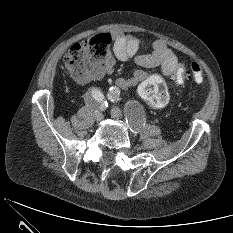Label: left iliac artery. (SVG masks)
<instances>
[{"label":"left iliac artery","mask_w":233,"mask_h":233,"mask_svg":"<svg viewBox=\"0 0 233 233\" xmlns=\"http://www.w3.org/2000/svg\"><path fill=\"white\" fill-rule=\"evenodd\" d=\"M108 99L113 102L121 101V92L117 87H111L108 93Z\"/></svg>","instance_id":"44dca946"}]
</instances>
